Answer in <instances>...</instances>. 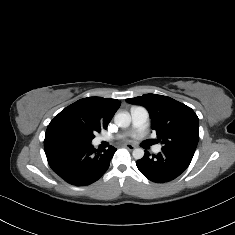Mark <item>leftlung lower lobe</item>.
Returning a JSON list of instances; mask_svg holds the SVG:
<instances>
[{
  "label": "left lung lower lobe",
  "mask_w": 235,
  "mask_h": 235,
  "mask_svg": "<svg viewBox=\"0 0 235 235\" xmlns=\"http://www.w3.org/2000/svg\"><path fill=\"white\" fill-rule=\"evenodd\" d=\"M192 160L183 153L162 149L157 155L145 151L142 159L136 161L140 172L153 182H168L183 173Z\"/></svg>",
  "instance_id": "0a47b994"
}]
</instances>
